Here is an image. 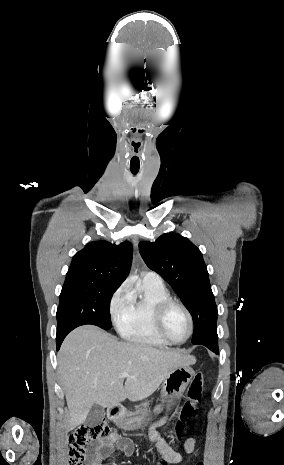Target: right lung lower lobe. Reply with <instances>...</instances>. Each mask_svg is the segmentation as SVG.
<instances>
[{
  "instance_id": "obj_1",
  "label": "right lung lower lobe",
  "mask_w": 284,
  "mask_h": 465,
  "mask_svg": "<svg viewBox=\"0 0 284 465\" xmlns=\"http://www.w3.org/2000/svg\"><path fill=\"white\" fill-rule=\"evenodd\" d=\"M76 327L78 326H71L69 328H66V329H63L57 332V335H56L57 350H59L64 338L68 335V333L72 331L73 329H75Z\"/></svg>"
}]
</instances>
